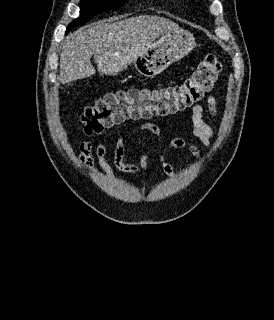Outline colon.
<instances>
[{"label":"colon","mask_w":274,"mask_h":320,"mask_svg":"<svg viewBox=\"0 0 274 320\" xmlns=\"http://www.w3.org/2000/svg\"><path fill=\"white\" fill-rule=\"evenodd\" d=\"M221 72V63L208 53L191 77L169 87L120 89L85 106L80 120L89 134H98L127 120L163 116L181 111L204 98Z\"/></svg>","instance_id":"colon-1"}]
</instances>
